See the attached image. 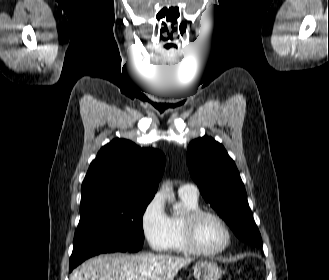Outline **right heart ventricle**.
<instances>
[{
  "label": "right heart ventricle",
  "mask_w": 329,
  "mask_h": 280,
  "mask_svg": "<svg viewBox=\"0 0 329 280\" xmlns=\"http://www.w3.org/2000/svg\"><path fill=\"white\" fill-rule=\"evenodd\" d=\"M181 202L184 207V211L179 215L169 216V227H170V237L166 250L173 253L185 254L188 253V249L184 243L183 232H182V222L185 213L198 209V199L190 198L189 196L179 194Z\"/></svg>",
  "instance_id": "1"
}]
</instances>
